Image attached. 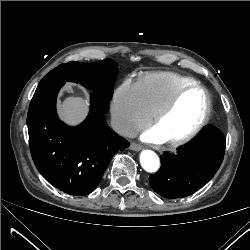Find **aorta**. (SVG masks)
Returning a JSON list of instances; mask_svg holds the SVG:
<instances>
[{
    "label": "aorta",
    "instance_id": "obj_1",
    "mask_svg": "<svg viewBox=\"0 0 250 250\" xmlns=\"http://www.w3.org/2000/svg\"><path fill=\"white\" fill-rule=\"evenodd\" d=\"M140 163L142 168L150 173L157 171L160 165L157 154L151 150H144L141 152Z\"/></svg>",
    "mask_w": 250,
    "mask_h": 250
}]
</instances>
